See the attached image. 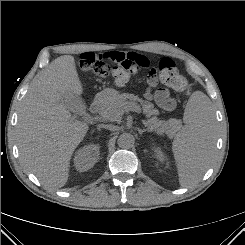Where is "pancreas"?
<instances>
[{
	"mask_svg": "<svg viewBox=\"0 0 245 245\" xmlns=\"http://www.w3.org/2000/svg\"><path fill=\"white\" fill-rule=\"evenodd\" d=\"M130 108L142 110L148 118L146 124L149 129L159 135L166 133L171 136L182 127V122L178 119L171 118L167 121H160L156 117L158 110L154 108L151 102L144 101L138 96L129 93L117 95L110 105L103 110L102 117L110 122H120L121 116Z\"/></svg>",
	"mask_w": 245,
	"mask_h": 245,
	"instance_id": "pancreas-1",
	"label": "pancreas"
}]
</instances>
